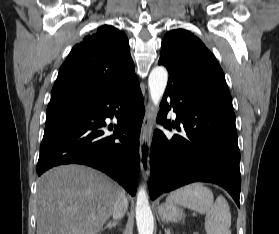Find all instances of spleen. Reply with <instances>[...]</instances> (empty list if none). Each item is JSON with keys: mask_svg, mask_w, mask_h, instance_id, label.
<instances>
[{"mask_svg": "<svg viewBox=\"0 0 279 234\" xmlns=\"http://www.w3.org/2000/svg\"><path fill=\"white\" fill-rule=\"evenodd\" d=\"M166 201L205 214L207 234H231V213L226 199L220 195L214 202L212 191L202 183L182 187L172 192Z\"/></svg>", "mask_w": 279, "mask_h": 234, "instance_id": "spleen-1", "label": "spleen"}]
</instances>
